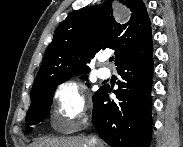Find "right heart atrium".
Returning <instances> with one entry per match:
<instances>
[{
	"instance_id": "1",
	"label": "right heart atrium",
	"mask_w": 183,
	"mask_h": 147,
	"mask_svg": "<svg viewBox=\"0 0 183 147\" xmlns=\"http://www.w3.org/2000/svg\"><path fill=\"white\" fill-rule=\"evenodd\" d=\"M52 116L66 127L76 125L86 114L87 102L84 88L76 81L62 83L54 93Z\"/></svg>"
}]
</instances>
